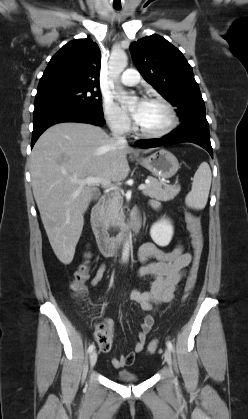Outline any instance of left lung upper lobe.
I'll use <instances>...</instances> for the list:
<instances>
[{
    "label": "left lung upper lobe",
    "mask_w": 248,
    "mask_h": 419,
    "mask_svg": "<svg viewBox=\"0 0 248 419\" xmlns=\"http://www.w3.org/2000/svg\"><path fill=\"white\" fill-rule=\"evenodd\" d=\"M130 52L144 79L178 108L177 115L181 121L206 114L192 67L179 49L154 34L133 42Z\"/></svg>",
    "instance_id": "5c2ea615"
}]
</instances>
